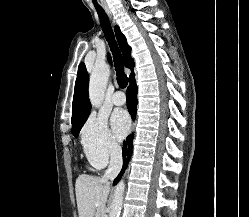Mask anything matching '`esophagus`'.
<instances>
[{
  "label": "esophagus",
  "instance_id": "esophagus-1",
  "mask_svg": "<svg viewBox=\"0 0 249 217\" xmlns=\"http://www.w3.org/2000/svg\"><path fill=\"white\" fill-rule=\"evenodd\" d=\"M105 11H106L108 17L112 20L113 18H112L111 11L107 7H105Z\"/></svg>",
  "mask_w": 249,
  "mask_h": 217
}]
</instances>
